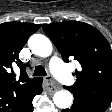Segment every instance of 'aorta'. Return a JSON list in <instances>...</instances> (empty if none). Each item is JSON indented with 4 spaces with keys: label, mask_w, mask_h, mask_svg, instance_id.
I'll use <instances>...</instances> for the list:
<instances>
[{
    "label": "aorta",
    "mask_w": 112,
    "mask_h": 112,
    "mask_svg": "<svg viewBox=\"0 0 112 112\" xmlns=\"http://www.w3.org/2000/svg\"><path fill=\"white\" fill-rule=\"evenodd\" d=\"M28 45L37 56L48 57L52 53L51 41L42 34L32 35L28 41ZM53 102L58 108L67 109L73 103V96L68 90H60L54 94Z\"/></svg>",
    "instance_id": "762f6f07"
}]
</instances>
